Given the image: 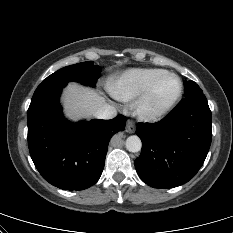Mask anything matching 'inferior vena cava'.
Segmentation results:
<instances>
[{
    "label": "inferior vena cava",
    "instance_id": "inferior-vena-cava-1",
    "mask_svg": "<svg viewBox=\"0 0 233 233\" xmlns=\"http://www.w3.org/2000/svg\"><path fill=\"white\" fill-rule=\"evenodd\" d=\"M117 115V110L114 106L104 103L94 113L98 119H112Z\"/></svg>",
    "mask_w": 233,
    "mask_h": 233
}]
</instances>
